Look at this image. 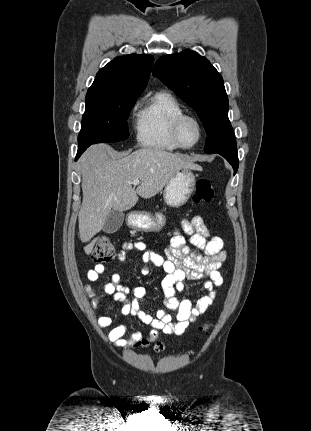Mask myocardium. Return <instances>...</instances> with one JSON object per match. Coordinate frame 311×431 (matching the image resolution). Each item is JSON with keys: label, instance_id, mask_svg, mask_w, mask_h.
Here are the masks:
<instances>
[{"label": "myocardium", "instance_id": "f54148a6", "mask_svg": "<svg viewBox=\"0 0 311 431\" xmlns=\"http://www.w3.org/2000/svg\"><path fill=\"white\" fill-rule=\"evenodd\" d=\"M188 118L195 119L197 121L198 125H199V128H200V135H199L197 141L195 143H193V144H186L183 141V138H182V135H181L182 124ZM204 135H205V125H204L202 119L198 115L193 114V113L185 112V113L180 114L175 119L174 124H173V136H174V139H175L177 145L180 148L191 149V148L196 147L202 141V138H203Z\"/></svg>", "mask_w": 311, "mask_h": 431}]
</instances>
